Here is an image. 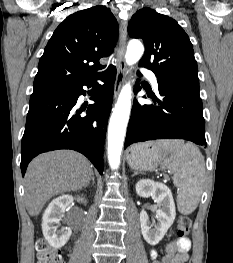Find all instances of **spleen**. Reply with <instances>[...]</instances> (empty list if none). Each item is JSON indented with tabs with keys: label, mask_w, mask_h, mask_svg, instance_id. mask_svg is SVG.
<instances>
[{
	"label": "spleen",
	"mask_w": 233,
	"mask_h": 263,
	"mask_svg": "<svg viewBox=\"0 0 233 263\" xmlns=\"http://www.w3.org/2000/svg\"><path fill=\"white\" fill-rule=\"evenodd\" d=\"M158 144L172 151L162 169L173 172L177 188V207L184 215L191 214L198 206L205 182V161L199 148L183 140H161Z\"/></svg>",
	"instance_id": "obj_1"
}]
</instances>
